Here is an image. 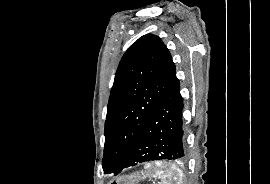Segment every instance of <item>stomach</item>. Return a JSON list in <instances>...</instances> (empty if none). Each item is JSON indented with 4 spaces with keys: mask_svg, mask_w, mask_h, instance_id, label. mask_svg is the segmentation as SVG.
Segmentation results:
<instances>
[{
    "mask_svg": "<svg viewBox=\"0 0 270 184\" xmlns=\"http://www.w3.org/2000/svg\"><path fill=\"white\" fill-rule=\"evenodd\" d=\"M142 179L143 177L139 173H133L114 179L110 184H138Z\"/></svg>",
    "mask_w": 270,
    "mask_h": 184,
    "instance_id": "0dacf381",
    "label": "stomach"
}]
</instances>
